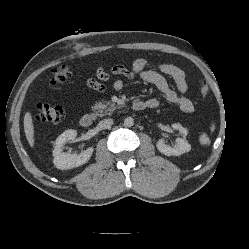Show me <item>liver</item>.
I'll return each instance as SVG.
<instances>
[{
	"instance_id": "liver-1",
	"label": "liver",
	"mask_w": 249,
	"mask_h": 249,
	"mask_svg": "<svg viewBox=\"0 0 249 249\" xmlns=\"http://www.w3.org/2000/svg\"><path fill=\"white\" fill-rule=\"evenodd\" d=\"M24 132L29 145L34 147V126L30 112H26L24 116Z\"/></svg>"
}]
</instances>
